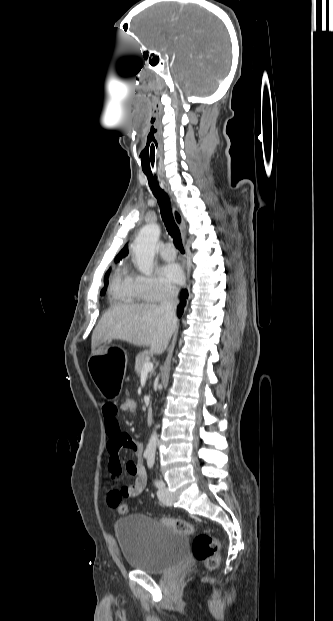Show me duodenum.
<instances>
[{
	"label": "duodenum",
	"instance_id": "410a0bca",
	"mask_svg": "<svg viewBox=\"0 0 333 621\" xmlns=\"http://www.w3.org/2000/svg\"><path fill=\"white\" fill-rule=\"evenodd\" d=\"M154 413L152 409H148L146 413V420L148 424H151L153 421Z\"/></svg>",
	"mask_w": 333,
	"mask_h": 621
}]
</instances>
